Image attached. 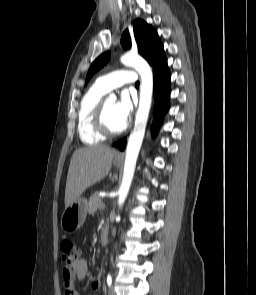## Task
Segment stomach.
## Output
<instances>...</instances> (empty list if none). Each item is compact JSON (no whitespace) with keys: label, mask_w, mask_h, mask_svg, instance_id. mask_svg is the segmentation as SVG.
<instances>
[{"label":"stomach","mask_w":256,"mask_h":295,"mask_svg":"<svg viewBox=\"0 0 256 295\" xmlns=\"http://www.w3.org/2000/svg\"><path fill=\"white\" fill-rule=\"evenodd\" d=\"M114 164L118 166L120 160L114 159ZM87 200L79 197L70 206L66 207L61 216V227L66 232H74L81 228L87 216Z\"/></svg>","instance_id":"stomach-1"}]
</instances>
